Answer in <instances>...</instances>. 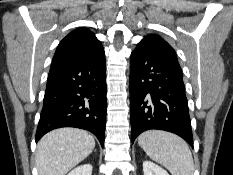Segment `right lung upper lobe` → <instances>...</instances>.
I'll return each instance as SVG.
<instances>
[{"label": "right lung upper lobe", "mask_w": 233, "mask_h": 175, "mask_svg": "<svg viewBox=\"0 0 233 175\" xmlns=\"http://www.w3.org/2000/svg\"><path fill=\"white\" fill-rule=\"evenodd\" d=\"M102 50L101 42L89 29H75L59 43L50 70L86 60Z\"/></svg>", "instance_id": "cb5924a9"}]
</instances>
